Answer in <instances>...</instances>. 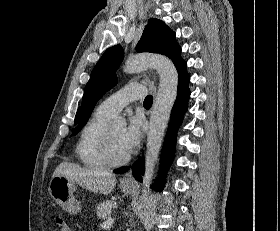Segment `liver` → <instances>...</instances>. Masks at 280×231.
<instances>
[{
    "label": "liver",
    "instance_id": "1",
    "mask_svg": "<svg viewBox=\"0 0 280 231\" xmlns=\"http://www.w3.org/2000/svg\"><path fill=\"white\" fill-rule=\"evenodd\" d=\"M54 175H64L69 181L78 183L80 187H85L89 191H96V193H104V195L111 193L117 181L114 173H106V171L104 173H95L93 169L80 167L77 163H68V161L59 163L52 177Z\"/></svg>",
    "mask_w": 280,
    "mask_h": 231
}]
</instances>
